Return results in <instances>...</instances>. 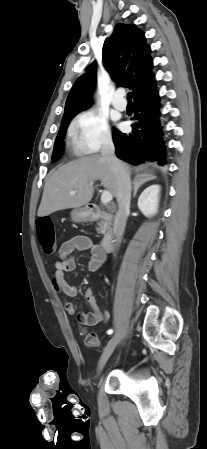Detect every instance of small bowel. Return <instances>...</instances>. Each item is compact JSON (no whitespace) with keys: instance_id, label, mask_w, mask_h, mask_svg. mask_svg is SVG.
Here are the masks:
<instances>
[{"instance_id":"obj_1","label":"small bowel","mask_w":207,"mask_h":449,"mask_svg":"<svg viewBox=\"0 0 207 449\" xmlns=\"http://www.w3.org/2000/svg\"><path fill=\"white\" fill-rule=\"evenodd\" d=\"M76 251H86L89 253V260L87 268L91 272L98 271L106 260L104 250L93 241L83 235L75 236L72 239L64 242L59 249L60 260L56 261L55 273L53 278L54 289L65 297H74L77 295V287L70 284L66 279L68 272L74 271L76 268ZM85 299L91 307L90 313H82L81 319L87 325H97L104 323L108 319V313L103 311L97 302V296L92 289H87L85 292ZM65 309L69 314L77 312V306L73 302H66Z\"/></svg>"}]
</instances>
